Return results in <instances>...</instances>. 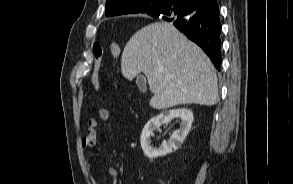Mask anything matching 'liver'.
<instances>
[{
    "label": "liver",
    "mask_w": 293,
    "mask_h": 184,
    "mask_svg": "<svg viewBox=\"0 0 293 184\" xmlns=\"http://www.w3.org/2000/svg\"><path fill=\"white\" fill-rule=\"evenodd\" d=\"M122 75L132 80L144 72L153 94L150 106L214 105L217 75L208 56L172 24L151 23L127 42L121 57Z\"/></svg>",
    "instance_id": "6515ba94"
}]
</instances>
